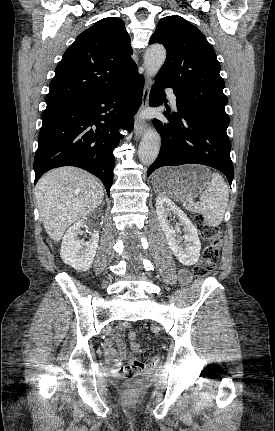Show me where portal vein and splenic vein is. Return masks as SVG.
Returning a JSON list of instances; mask_svg holds the SVG:
<instances>
[{"instance_id": "18ae733b", "label": "portal vein and splenic vein", "mask_w": 275, "mask_h": 431, "mask_svg": "<svg viewBox=\"0 0 275 431\" xmlns=\"http://www.w3.org/2000/svg\"><path fill=\"white\" fill-rule=\"evenodd\" d=\"M187 200H188L189 203H193V198L192 197H189Z\"/></svg>"}]
</instances>
